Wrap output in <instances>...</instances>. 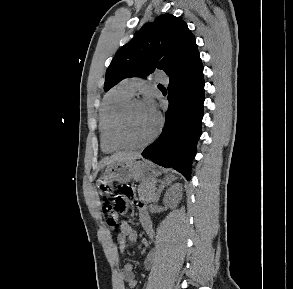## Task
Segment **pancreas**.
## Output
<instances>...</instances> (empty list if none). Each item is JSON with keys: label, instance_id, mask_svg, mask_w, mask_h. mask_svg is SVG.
Listing matches in <instances>:
<instances>
[{"label": "pancreas", "instance_id": "1", "mask_svg": "<svg viewBox=\"0 0 293 289\" xmlns=\"http://www.w3.org/2000/svg\"><path fill=\"white\" fill-rule=\"evenodd\" d=\"M156 188L152 182H144L138 186V195L141 200L146 202L157 201Z\"/></svg>", "mask_w": 293, "mask_h": 289}]
</instances>
